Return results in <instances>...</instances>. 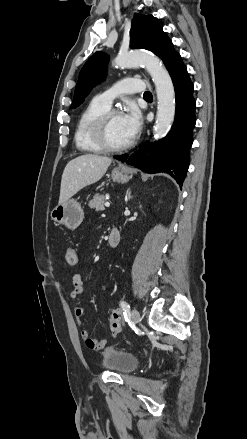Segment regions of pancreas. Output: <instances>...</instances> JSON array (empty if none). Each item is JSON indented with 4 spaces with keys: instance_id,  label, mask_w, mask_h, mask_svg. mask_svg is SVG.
I'll return each mask as SVG.
<instances>
[{
    "instance_id": "pancreas-1",
    "label": "pancreas",
    "mask_w": 247,
    "mask_h": 439,
    "mask_svg": "<svg viewBox=\"0 0 247 439\" xmlns=\"http://www.w3.org/2000/svg\"><path fill=\"white\" fill-rule=\"evenodd\" d=\"M105 203V196L101 194H95L93 199L89 202V207L97 211H103Z\"/></svg>"
}]
</instances>
